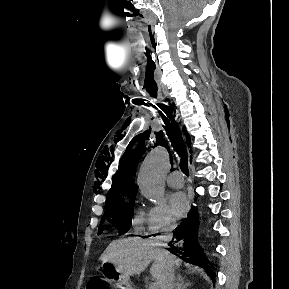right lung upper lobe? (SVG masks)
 Returning <instances> with one entry per match:
<instances>
[{"label":"right lung upper lobe","mask_w":289,"mask_h":289,"mask_svg":"<svg viewBox=\"0 0 289 289\" xmlns=\"http://www.w3.org/2000/svg\"><path fill=\"white\" fill-rule=\"evenodd\" d=\"M186 136L189 139L187 133ZM144 148V143H139L136 150H126L120 161L119 170L115 174L112 187L107 194L106 203L119 202L126 198L135 197L137 188L133 184L134 169ZM122 162H125V164L122 165Z\"/></svg>","instance_id":"cb5924a9"}]
</instances>
